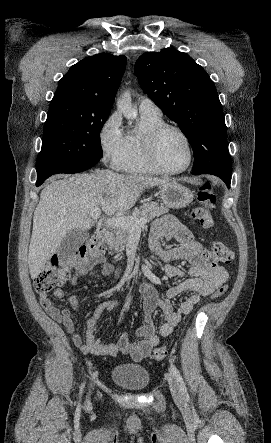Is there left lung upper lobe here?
<instances>
[{
    "label": "left lung upper lobe",
    "instance_id": "left-lung-upper-lobe-1",
    "mask_svg": "<svg viewBox=\"0 0 271 443\" xmlns=\"http://www.w3.org/2000/svg\"><path fill=\"white\" fill-rule=\"evenodd\" d=\"M134 70L143 91L189 140L192 173L216 175L229 188L232 165L224 114L206 71L188 54L171 48L144 53Z\"/></svg>",
    "mask_w": 271,
    "mask_h": 443
}]
</instances>
